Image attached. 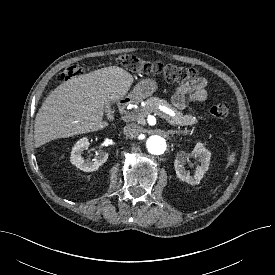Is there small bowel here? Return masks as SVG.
I'll return each instance as SVG.
<instances>
[{"label": "small bowel", "mask_w": 275, "mask_h": 275, "mask_svg": "<svg viewBox=\"0 0 275 275\" xmlns=\"http://www.w3.org/2000/svg\"><path fill=\"white\" fill-rule=\"evenodd\" d=\"M207 80L203 77L182 84L177 87L172 102L177 109H184L187 105V97L193 102H202L207 98Z\"/></svg>", "instance_id": "c3829d8e"}]
</instances>
